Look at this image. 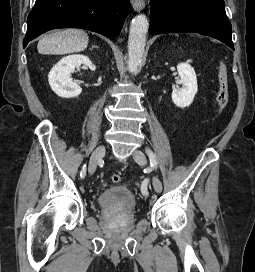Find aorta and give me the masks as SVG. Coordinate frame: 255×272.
<instances>
[{"instance_id":"1","label":"aorta","mask_w":255,"mask_h":272,"mask_svg":"<svg viewBox=\"0 0 255 272\" xmlns=\"http://www.w3.org/2000/svg\"><path fill=\"white\" fill-rule=\"evenodd\" d=\"M148 26V20L144 14L134 17L130 24L128 39V69L133 74L138 73L143 60Z\"/></svg>"}]
</instances>
